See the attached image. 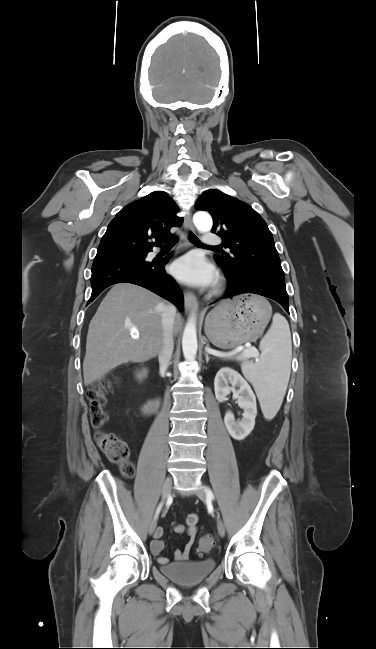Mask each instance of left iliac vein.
Here are the masks:
<instances>
[{"label": "left iliac vein", "instance_id": "left-iliac-vein-1", "mask_svg": "<svg viewBox=\"0 0 376 649\" xmlns=\"http://www.w3.org/2000/svg\"><path fill=\"white\" fill-rule=\"evenodd\" d=\"M196 494H197L198 498H199L200 500H202V501L208 499L207 493H206L204 490H202V489H199V490L196 492ZM217 528H218V533H219V535H220L221 537H223V536L225 535V526H224V524H223V522H222L221 519L218 520Z\"/></svg>", "mask_w": 376, "mask_h": 649}]
</instances>
